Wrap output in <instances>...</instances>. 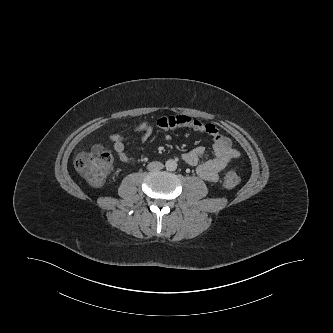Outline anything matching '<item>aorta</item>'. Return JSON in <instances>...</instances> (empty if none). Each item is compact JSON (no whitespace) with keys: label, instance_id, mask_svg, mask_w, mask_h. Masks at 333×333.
<instances>
[{"label":"aorta","instance_id":"obj_1","mask_svg":"<svg viewBox=\"0 0 333 333\" xmlns=\"http://www.w3.org/2000/svg\"><path fill=\"white\" fill-rule=\"evenodd\" d=\"M165 166L168 171H175L177 169V163L172 159L167 160Z\"/></svg>","mask_w":333,"mask_h":333}]
</instances>
